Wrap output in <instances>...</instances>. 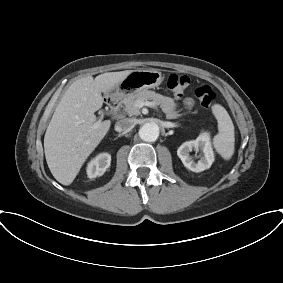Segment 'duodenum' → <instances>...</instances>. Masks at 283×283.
<instances>
[{
    "mask_svg": "<svg viewBox=\"0 0 283 283\" xmlns=\"http://www.w3.org/2000/svg\"><path fill=\"white\" fill-rule=\"evenodd\" d=\"M107 105L111 111L112 116H116L119 111L120 106V97L119 96H110L107 99Z\"/></svg>",
    "mask_w": 283,
    "mask_h": 283,
    "instance_id": "1",
    "label": "duodenum"
}]
</instances>
